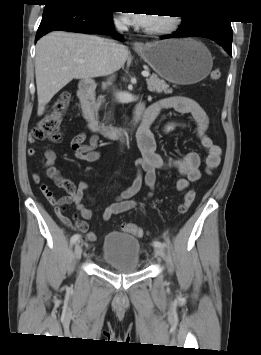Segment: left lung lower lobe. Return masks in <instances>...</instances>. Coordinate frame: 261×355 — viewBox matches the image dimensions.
Listing matches in <instances>:
<instances>
[{"mask_svg": "<svg viewBox=\"0 0 261 355\" xmlns=\"http://www.w3.org/2000/svg\"><path fill=\"white\" fill-rule=\"evenodd\" d=\"M177 37H204L220 44L232 55V28L230 21L215 18H203L195 26L180 25L178 31L172 35L161 36V39Z\"/></svg>", "mask_w": 261, "mask_h": 355, "instance_id": "obj_1", "label": "left lung lower lobe"}]
</instances>
